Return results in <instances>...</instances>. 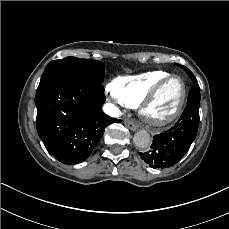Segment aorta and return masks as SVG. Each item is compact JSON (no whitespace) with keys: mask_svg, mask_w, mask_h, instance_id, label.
Here are the masks:
<instances>
[{"mask_svg":"<svg viewBox=\"0 0 229 229\" xmlns=\"http://www.w3.org/2000/svg\"><path fill=\"white\" fill-rule=\"evenodd\" d=\"M133 142L138 149L145 150L150 145V135L145 130L137 131L134 135Z\"/></svg>","mask_w":229,"mask_h":229,"instance_id":"1","label":"aorta"}]
</instances>
